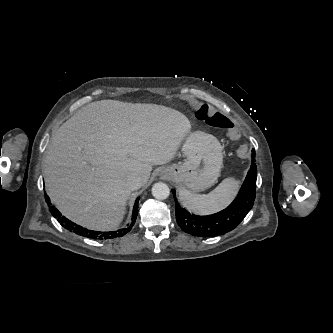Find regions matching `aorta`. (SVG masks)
I'll return each mask as SVG.
<instances>
[{
  "label": "aorta",
  "instance_id": "1",
  "mask_svg": "<svg viewBox=\"0 0 333 333\" xmlns=\"http://www.w3.org/2000/svg\"><path fill=\"white\" fill-rule=\"evenodd\" d=\"M152 195L156 199L160 200L166 199L170 195L169 187L162 182L155 183L152 187Z\"/></svg>",
  "mask_w": 333,
  "mask_h": 333
}]
</instances>
